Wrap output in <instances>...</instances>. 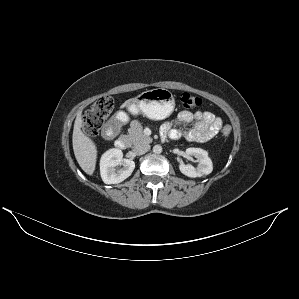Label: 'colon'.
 Masks as SVG:
<instances>
[{
	"instance_id": "5ec220e1",
	"label": "colon",
	"mask_w": 299,
	"mask_h": 299,
	"mask_svg": "<svg viewBox=\"0 0 299 299\" xmlns=\"http://www.w3.org/2000/svg\"><path fill=\"white\" fill-rule=\"evenodd\" d=\"M181 105L187 109H195L202 105V100L190 93H182L180 96ZM114 108L113 98L109 95L102 96L95 101L91 107L84 113L83 130L88 136H96L99 134L105 120L110 116ZM223 136H229L231 127L224 125L221 128Z\"/></svg>"
}]
</instances>
